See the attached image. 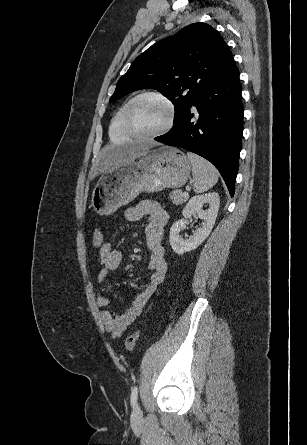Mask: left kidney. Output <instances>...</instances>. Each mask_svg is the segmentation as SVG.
<instances>
[{"instance_id":"5707ae66","label":"left kidney","mask_w":307,"mask_h":445,"mask_svg":"<svg viewBox=\"0 0 307 445\" xmlns=\"http://www.w3.org/2000/svg\"><path fill=\"white\" fill-rule=\"evenodd\" d=\"M208 202V210H202L203 204ZM220 204V196L218 192H208V194H197V196H192L188 200L186 206L182 210L184 218H189L193 212H198L199 218H202V229H197L194 231L193 235L189 239H182L180 233L186 229L187 223H185L184 218L177 220L170 229V245L177 255H184V253H189V251H194L197 249L207 237H209L214 225L216 216L218 214Z\"/></svg>"}]
</instances>
